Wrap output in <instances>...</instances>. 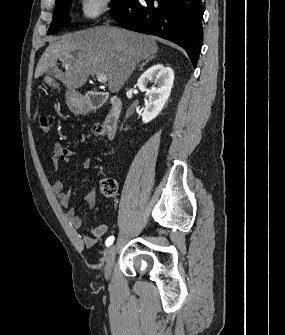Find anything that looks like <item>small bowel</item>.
<instances>
[{"instance_id":"c3829d8e","label":"small bowel","mask_w":285,"mask_h":335,"mask_svg":"<svg viewBox=\"0 0 285 335\" xmlns=\"http://www.w3.org/2000/svg\"><path fill=\"white\" fill-rule=\"evenodd\" d=\"M75 154L74 151L64 148L59 143H55L52 150V160L56 166H59L62 163H67L70 160V157ZM80 167L83 170H89L91 167V159L84 158ZM60 204L67 208L70 203L71 190L64 181H58L52 186ZM97 200L96 189L93 188L84 198V203L88 207H93ZM66 216L75 229H80L83 226L82 218L77 214V211L74 208H69L67 210ZM108 231V225L102 224L94 228H86L84 234L82 235V242L86 247L94 246L100 238L106 234Z\"/></svg>"}]
</instances>
